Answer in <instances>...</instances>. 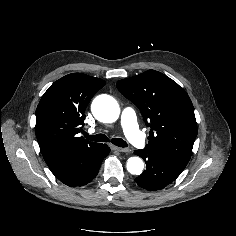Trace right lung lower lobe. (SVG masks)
Instances as JSON below:
<instances>
[{
    "label": "right lung lower lobe",
    "instance_id": "1",
    "mask_svg": "<svg viewBox=\"0 0 236 236\" xmlns=\"http://www.w3.org/2000/svg\"><path fill=\"white\" fill-rule=\"evenodd\" d=\"M109 152L110 148L101 143L76 149L66 155L57 168L50 170L59 181L69 187L84 186L98 174L101 163Z\"/></svg>",
    "mask_w": 236,
    "mask_h": 236
}]
</instances>
